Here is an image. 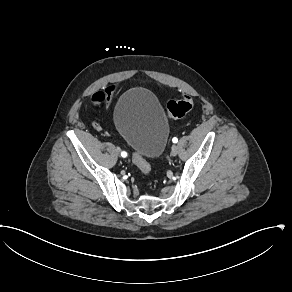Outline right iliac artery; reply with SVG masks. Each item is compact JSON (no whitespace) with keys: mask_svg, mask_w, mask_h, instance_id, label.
<instances>
[{"mask_svg":"<svg viewBox=\"0 0 292 292\" xmlns=\"http://www.w3.org/2000/svg\"><path fill=\"white\" fill-rule=\"evenodd\" d=\"M121 156H122V157H126V156H127V153H126L125 151H122V152H121Z\"/></svg>","mask_w":292,"mask_h":292,"instance_id":"82829eb1","label":"right iliac artery"}]
</instances>
